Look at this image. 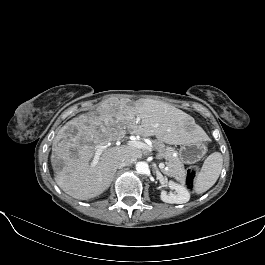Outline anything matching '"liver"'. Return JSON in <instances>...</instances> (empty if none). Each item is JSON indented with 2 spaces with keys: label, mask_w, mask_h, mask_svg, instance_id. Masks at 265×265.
Segmentation results:
<instances>
[{
  "label": "liver",
  "mask_w": 265,
  "mask_h": 265,
  "mask_svg": "<svg viewBox=\"0 0 265 265\" xmlns=\"http://www.w3.org/2000/svg\"><path fill=\"white\" fill-rule=\"evenodd\" d=\"M190 121L188 114L161 101L131 103L107 99L95 112L71 119L58 131L51 155L52 166L57 171L55 181L75 199L94 198L110 186L119 161L127 156L142 157V151L135 147H107L97 165L91 167L97 147L121 140L126 129L143 137L155 136L167 144L181 145L197 134Z\"/></svg>",
  "instance_id": "1"
}]
</instances>
